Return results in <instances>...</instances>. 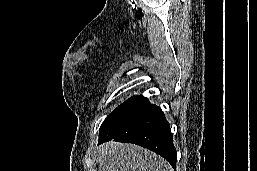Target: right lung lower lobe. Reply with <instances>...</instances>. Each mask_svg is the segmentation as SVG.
<instances>
[{"label": "right lung lower lobe", "instance_id": "1", "mask_svg": "<svg viewBox=\"0 0 257 171\" xmlns=\"http://www.w3.org/2000/svg\"><path fill=\"white\" fill-rule=\"evenodd\" d=\"M135 143L164 157L176 167L177 152L170 125L160 107L139 96L100 128L99 143Z\"/></svg>", "mask_w": 257, "mask_h": 171}]
</instances>
